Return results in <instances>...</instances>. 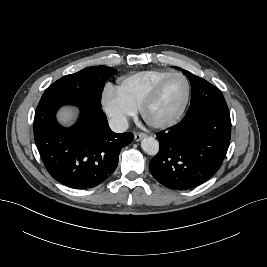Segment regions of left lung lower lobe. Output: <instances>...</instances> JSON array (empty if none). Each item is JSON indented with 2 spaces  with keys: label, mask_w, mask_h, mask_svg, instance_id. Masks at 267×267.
<instances>
[{
  "label": "left lung lower lobe",
  "mask_w": 267,
  "mask_h": 267,
  "mask_svg": "<svg viewBox=\"0 0 267 267\" xmlns=\"http://www.w3.org/2000/svg\"><path fill=\"white\" fill-rule=\"evenodd\" d=\"M212 104L208 96L191 101L179 124L156 134L160 148L149 170L167 188H194L220 168L230 143L231 120L228 107L214 111Z\"/></svg>",
  "instance_id": "0a47b994"
}]
</instances>
